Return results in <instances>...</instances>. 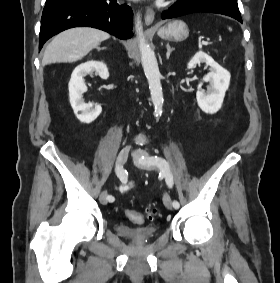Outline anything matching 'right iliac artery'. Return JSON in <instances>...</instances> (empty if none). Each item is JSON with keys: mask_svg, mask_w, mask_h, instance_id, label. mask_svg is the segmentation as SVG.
<instances>
[{"mask_svg": "<svg viewBox=\"0 0 280 283\" xmlns=\"http://www.w3.org/2000/svg\"><path fill=\"white\" fill-rule=\"evenodd\" d=\"M115 171H116V174H117L118 178L120 179V181L122 183H125L127 181V174H128L127 171L122 166H119V165L116 166ZM107 199H108L109 202H114V200H115L114 196H112V195H109L107 197Z\"/></svg>", "mask_w": 280, "mask_h": 283, "instance_id": "82829eb1", "label": "right iliac artery"}]
</instances>
